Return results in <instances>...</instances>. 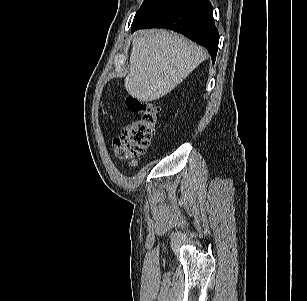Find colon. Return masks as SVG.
<instances>
[{"label":"colon","instance_id":"5ec220e1","mask_svg":"<svg viewBox=\"0 0 307 301\" xmlns=\"http://www.w3.org/2000/svg\"><path fill=\"white\" fill-rule=\"evenodd\" d=\"M127 107L137 115L114 140V148L118 156L136 166L137 160L143 156L153 136L158 122L159 106L154 101L129 98Z\"/></svg>","mask_w":307,"mask_h":301}]
</instances>
